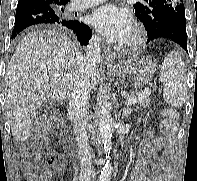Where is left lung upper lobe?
<instances>
[{"label":"left lung upper lobe","instance_id":"1","mask_svg":"<svg viewBox=\"0 0 197 181\" xmlns=\"http://www.w3.org/2000/svg\"><path fill=\"white\" fill-rule=\"evenodd\" d=\"M134 12L144 24L148 38L170 19L185 18L183 0H144L134 4Z\"/></svg>","mask_w":197,"mask_h":181}]
</instances>
